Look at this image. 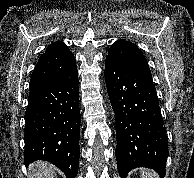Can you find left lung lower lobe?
<instances>
[{"mask_svg":"<svg viewBox=\"0 0 194 178\" xmlns=\"http://www.w3.org/2000/svg\"><path fill=\"white\" fill-rule=\"evenodd\" d=\"M105 81L116 116L119 174L136 167L166 173L168 139L152 78L106 58Z\"/></svg>","mask_w":194,"mask_h":178,"instance_id":"left-lung-lower-lobe-1","label":"left lung lower lobe"}]
</instances>
